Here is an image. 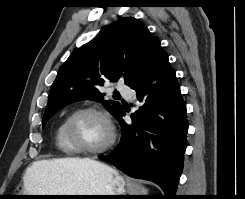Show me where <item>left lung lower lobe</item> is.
I'll return each instance as SVG.
<instances>
[{
  "instance_id": "left-lung-lower-lobe-1",
  "label": "left lung lower lobe",
  "mask_w": 245,
  "mask_h": 199,
  "mask_svg": "<svg viewBox=\"0 0 245 199\" xmlns=\"http://www.w3.org/2000/svg\"><path fill=\"white\" fill-rule=\"evenodd\" d=\"M130 88L143 105L131 115L130 124L123 120L121 110L117 116L121 141L100 159L131 177L155 182L165 198L172 199L183 169L188 123L175 71L163 49Z\"/></svg>"
}]
</instances>
